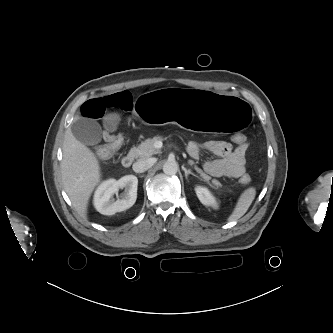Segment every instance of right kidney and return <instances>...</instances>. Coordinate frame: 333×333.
<instances>
[{
	"label": "right kidney",
	"mask_w": 333,
	"mask_h": 333,
	"mask_svg": "<svg viewBox=\"0 0 333 333\" xmlns=\"http://www.w3.org/2000/svg\"><path fill=\"white\" fill-rule=\"evenodd\" d=\"M138 179L134 175H126L119 180L109 179L101 183L94 195V206L103 215H113L134 205L137 199ZM120 188L125 192L122 199L115 201L113 195Z\"/></svg>",
	"instance_id": "right-kidney-1"
}]
</instances>
